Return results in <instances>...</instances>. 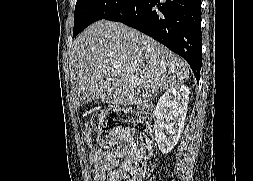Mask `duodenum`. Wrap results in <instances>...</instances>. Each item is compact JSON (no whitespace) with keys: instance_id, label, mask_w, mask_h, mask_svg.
I'll return each instance as SVG.
<instances>
[{"instance_id":"410a0bca","label":"duodenum","mask_w":253,"mask_h":181,"mask_svg":"<svg viewBox=\"0 0 253 181\" xmlns=\"http://www.w3.org/2000/svg\"><path fill=\"white\" fill-rule=\"evenodd\" d=\"M141 112H142V114H144L146 116H152V114H153L152 105H150V104L142 105Z\"/></svg>"}]
</instances>
